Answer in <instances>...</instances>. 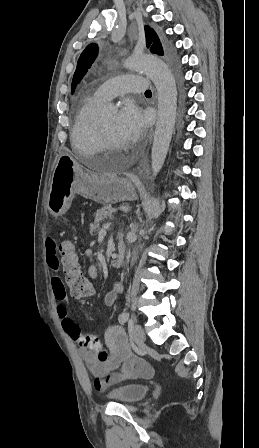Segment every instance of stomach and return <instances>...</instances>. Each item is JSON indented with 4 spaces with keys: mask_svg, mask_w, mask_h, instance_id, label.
<instances>
[{
    "mask_svg": "<svg viewBox=\"0 0 259 448\" xmlns=\"http://www.w3.org/2000/svg\"><path fill=\"white\" fill-rule=\"evenodd\" d=\"M76 164V160L69 154H62L57 160L47 200L52 216L64 214L66 204H69L74 196Z\"/></svg>",
    "mask_w": 259,
    "mask_h": 448,
    "instance_id": "0dacf381",
    "label": "stomach"
}]
</instances>
